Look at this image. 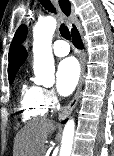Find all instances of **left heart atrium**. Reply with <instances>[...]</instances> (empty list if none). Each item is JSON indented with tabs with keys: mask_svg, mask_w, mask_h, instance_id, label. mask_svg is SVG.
<instances>
[{
	"mask_svg": "<svg viewBox=\"0 0 114 156\" xmlns=\"http://www.w3.org/2000/svg\"><path fill=\"white\" fill-rule=\"evenodd\" d=\"M79 75L80 67L77 60L74 57L63 59L56 72L57 91L63 96L71 94L77 85Z\"/></svg>",
	"mask_w": 114,
	"mask_h": 156,
	"instance_id": "left-heart-atrium-1",
	"label": "left heart atrium"
}]
</instances>
